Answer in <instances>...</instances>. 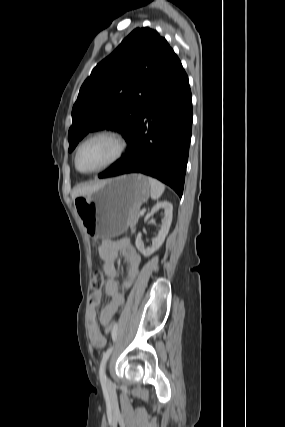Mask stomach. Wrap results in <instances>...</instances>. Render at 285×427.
Masks as SVG:
<instances>
[{
  "mask_svg": "<svg viewBox=\"0 0 285 427\" xmlns=\"http://www.w3.org/2000/svg\"><path fill=\"white\" fill-rule=\"evenodd\" d=\"M150 193L146 176L128 174L106 180L92 194L76 197L74 208L89 235L107 239L130 226Z\"/></svg>",
  "mask_w": 285,
  "mask_h": 427,
  "instance_id": "obj_1",
  "label": "stomach"
}]
</instances>
